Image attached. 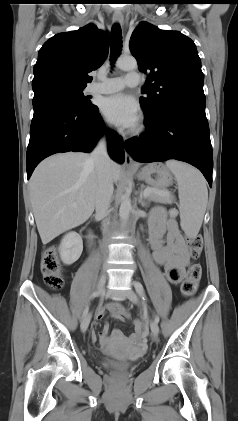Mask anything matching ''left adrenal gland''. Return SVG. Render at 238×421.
<instances>
[{"instance_id":"left-adrenal-gland-1","label":"left adrenal gland","mask_w":238,"mask_h":421,"mask_svg":"<svg viewBox=\"0 0 238 421\" xmlns=\"http://www.w3.org/2000/svg\"><path fill=\"white\" fill-rule=\"evenodd\" d=\"M138 202L141 204L142 207H148V202H145L142 196V189L139 192V200Z\"/></svg>"}]
</instances>
